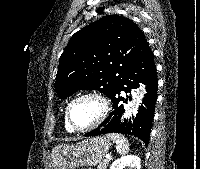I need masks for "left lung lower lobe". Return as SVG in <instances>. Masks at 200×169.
<instances>
[{"label":"left lung lower lobe","mask_w":200,"mask_h":169,"mask_svg":"<svg viewBox=\"0 0 200 169\" xmlns=\"http://www.w3.org/2000/svg\"><path fill=\"white\" fill-rule=\"evenodd\" d=\"M139 83L147 85V93L143 99V105L140 106L135 118H132V120L129 121L124 120V122L121 123L120 119L124 111L123 105H119V103L120 101H124V98L120 96V92L123 90L125 93H129L132 88L139 87ZM157 86L158 79L156 76L154 55L151 49H149L142 58L127 71L121 84L109 97L113 102V111L97 129L84 136H96L116 132L134 135L147 145L150 138L152 119L155 110ZM126 101L127 100H125V102Z\"/></svg>","instance_id":"obj_1"}]
</instances>
